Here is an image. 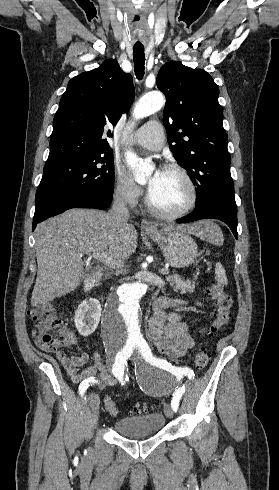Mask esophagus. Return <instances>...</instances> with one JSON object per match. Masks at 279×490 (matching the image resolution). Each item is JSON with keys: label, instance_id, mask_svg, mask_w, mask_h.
<instances>
[{"label": "esophagus", "instance_id": "34e87169", "mask_svg": "<svg viewBox=\"0 0 279 490\" xmlns=\"http://www.w3.org/2000/svg\"><path fill=\"white\" fill-rule=\"evenodd\" d=\"M141 226L146 229L157 230V224L148 220L143 219L141 221Z\"/></svg>", "mask_w": 279, "mask_h": 490}]
</instances>
